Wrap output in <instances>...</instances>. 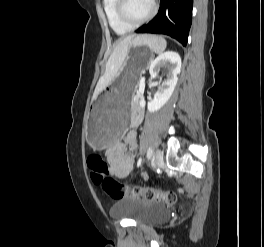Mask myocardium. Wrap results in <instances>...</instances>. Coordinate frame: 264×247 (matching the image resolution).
<instances>
[{"label":"myocardium","instance_id":"1","mask_svg":"<svg viewBox=\"0 0 264 247\" xmlns=\"http://www.w3.org/2000/svg\"><path fill=\"white\" fill-rule=\"evenodd\" d=\"M127 2H128L127 0H117L116 12H117L119 19L124 24L128 25L131 28L137 27V26L142 25L145 22H147L149 19H151L153 17V15L155 14L156 9H157L155 0H151V8H150L149 12L143 18L134 20L128 14Z\"/></svg>","mask_w":264,"mask_h":247}]
</instances>
